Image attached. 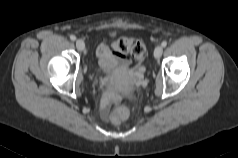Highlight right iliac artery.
Returning <instances> with one entry per match:
<instances>
[{"label":"right iliac artery","instance_id":"82829eb1","mask_svg":"<svg viewBox=\"0 0 238 158\" xmlns=\"http://www.w3.org/2000/svg\"><path fill=\"white\" fill-rule=\"evenodd\" d=\"M70 39H71L72 41H75V40H76V36H75V35H71V36H70Z\"/></svg>","mask_w":238,"mask_h":158}]
</instances>
